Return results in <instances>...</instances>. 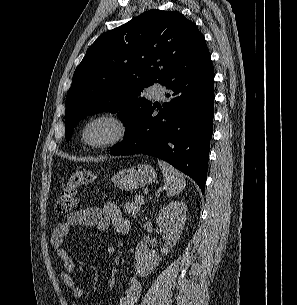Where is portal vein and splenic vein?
I'll list each match as a JSON object with an SVG mask.
<instances>
[{
    "instance_id": "18ae733b",
    "label": "portal vein and splenic vein",
    "mask_w": 297,
    "mask_h": 305,
    "mask_svg": "<svg viewBox=\"0 0 297 305\" xmlns=\"http://www.w3.org/2000/svg\"><path fill=\"white\" fill-rule=\"evenodd\" d=\"M141 201H144V198H143V196H141V199L139 200V203H140Z\"/></svg>"
}]
</instances>
